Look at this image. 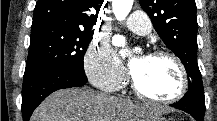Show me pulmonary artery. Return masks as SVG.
I'll list each match as a JSON object with an SVG mask.
<instances>
[{
  "instance_id": "e3ab8cb5",
  "label": "pulmonary artery",
  "mask_w": 217,
  "mask_h": 121,
  "mask_svg": "<svg viewBox=\"0 0 217 121\" xmlns=\"http://www.w3.org/2000/svg\"><path fill=\"white\" fill-rule=\"evenodd\" d=\"M126 26L133 32L146 35L151 32L152 24L148 16L142 11H134L125 21Z\"/></svg>"
}]
</instances>
